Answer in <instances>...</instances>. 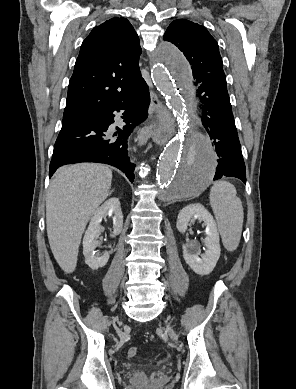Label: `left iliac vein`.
Returning a JSON list of instances; mask_svg holds the SVG:
<instances>
[{
    "label": "left iliac vein",
    "mask_w": 296,
    "mask_h": 389,
    "mask_svg": "<svg viewBox=\"0 0 296 389\" xmlns=\"http://www.w3.org/2000/svg\"><path fill=\"white\" fill-rule=\"evenodd\" d=\"M166 331L168 332L169 336L173 339V340H177V335L175 334V332L173 331V329L170 327V326H166Z\"/></svg>",
    "instance_id": "4c4485c4"
}]
</instances>
